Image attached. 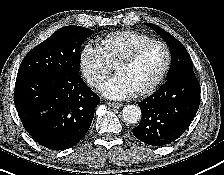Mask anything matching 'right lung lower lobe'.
<instances>
[{
    "label": "right lung lower lobe",
    "mask_w": 224,
    "mask_h": 175,
    "mask_svg": "<svg viewBox=\"0 0 224 175\" xmlns=\"http://www.w3.org/2000/svg\"><path fill=\"white\" fill-rule=\"evenodd\" d=\"M14 103L32 138L51 150L76 145L92 123L99 96L80 75L17 74Z\"/></svg>",
    "instance_id": "98d812e1"
}]
</instances>
